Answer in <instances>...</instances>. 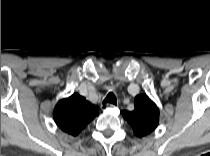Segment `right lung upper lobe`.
<instances>
[{
	"mask_svg": "<svg viewBox=\"0 0 210 156\" xmlns=\"http://www.w3.org/2000/svg\"><path fill=\"white\" fill-rule=\"evenodd\" d=\"M98 114V107L78 93L60 100L53 112L57 126L72 136H77Z\"/></svg>",
	"mask_w": 210,
	"mask_h": 156,
	"instance_id": "cb5924a9",
	"label": "right lung upper lobe"
}]
</instances>
